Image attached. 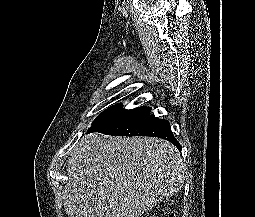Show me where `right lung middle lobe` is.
Returning <instances> with one entry per match:
<instances>
[{
  "label": "right lung middle lobe",
  "instance_id": "right-lung-middle-lobe-1",
  "mask_svg": "<svg viewBox=\"0 0 255 217\" xmlns=\"http://www.w3.org/2000/svg\"><path fill=\"white\" fill-rule=\"evenodd\" d=\"M119 108H121V105H115V106H112V107L106 109L104 112H102V113L95 119V121L101 119L102 117H104V116L110 114L111 112H113V111H115V110H117V109H119ZM95 121H94V122H95ZM94 122H93V123H94Z\"/></svg>",
  "mask_w": 255,
  "mask_h": 217
}]
</instances>
